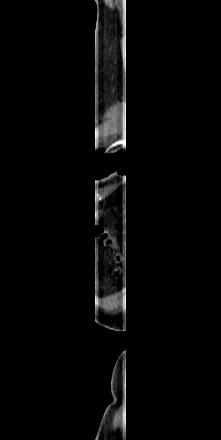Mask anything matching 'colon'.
Here are the masks:
<instances>
[{
    "instance_id": "5ec220e1",
    "label": "colon",
    "mask_w": 221,
    "mask_h": 440,
    "mask_svg": "<svg viewBox=\"0 0 221 440\" xmlns=\"http://www.w3.org/2000/svg\"><path fill=\"white\" fill-rule=\"evenodd\" d=\"M91 230L94 240H96L103 247L109 246L112 248L114 254V275L117 279H119L123 273L125 264V253L123 251L121 242L111 240L107 237L102 222H93Z\"/></svg>"
}]
</instances>
